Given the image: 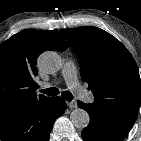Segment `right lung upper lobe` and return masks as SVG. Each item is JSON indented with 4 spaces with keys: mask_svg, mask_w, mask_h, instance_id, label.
<instances>
[{
    "mask_svg": "<svg viewBox=\"0 0 141 141\" xmlns=\"http://www.w3.org/2000/svg\"><path fill=\"white\" fill-rule=\"evenodd\" d=\"M66 49L65 40L53 30H23L0 45V121L50 99L36 95V60L44 51Z\"/></svg>",
    "mask_w": 141,
    "mask_h": 141,
    "instance_id": "cb5924a9",
    "label": "right lung upper lobe"
}]
</instances>
